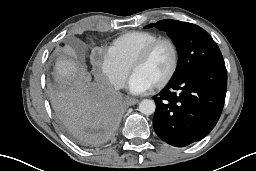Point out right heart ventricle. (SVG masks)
Instances as JSON below:
<instances>
[{"instance_id":"right-heart-ventricle-1","label":"right heart ventricle","mask_w":256,"mask_h":171,"mask_svg":"<svg viewBox=\"0 0 256 171\" xmlns=\"http://www.w3.org/2000/svg\"><path fill=\"white\" fill-rule=\"evenodd\" d=\"M159 36L148 31H130L114 39L107 47V52L127 67L134 57L149 43Z\"/></svg>"}]
</instances>
